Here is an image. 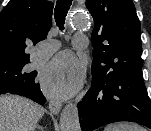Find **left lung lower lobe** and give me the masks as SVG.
Masks as SVG:
<instances>
[{"label":"left lung lower lobe","instance_id":"obj_1","mask_svg":"<svg viewBox=\"0 0 151 131\" xmlns=\"http://www.w3.org/2000/svg\"><path fill=\"white\" fill-rule=\"evenodd\" d=\"M141 71L138 67L109 81H92L78 103L82 131L117 121L137 122L151 129V102Z\"/></svg>","mask_w":151,"mask_h":131}]
</instances>
